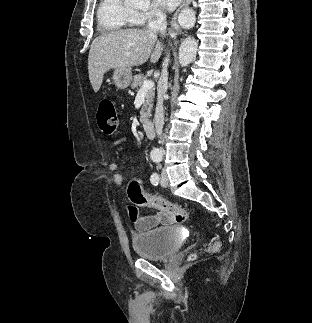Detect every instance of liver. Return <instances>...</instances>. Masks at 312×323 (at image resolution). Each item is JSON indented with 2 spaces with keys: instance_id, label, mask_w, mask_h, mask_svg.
I'll use <instances>...</instances> for the list:
<instances>
[{
  "instance_id": "obj_1",
  "label": "liver",
  "mask_w": 312,
  "mask_h": 323,
  "mask_svg": "<svg viewBox=\"0 0 312 323\" xmlns=\"http://www.w3.org/2000/svg\"><path fill=\"white\" fill-rule=\"evenodd\" d=\"M156 30H118L95 38L88 56L89 80L94 92H99L103 76L112 68L142 66L150 58L152 64L162 56V44Z\"/></svg>"
}]
</instances>
